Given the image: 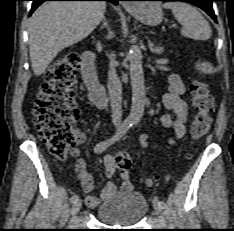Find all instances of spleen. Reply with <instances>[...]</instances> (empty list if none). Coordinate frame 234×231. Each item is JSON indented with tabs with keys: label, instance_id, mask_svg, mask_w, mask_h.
Instances as JSON below:
<instances>
[{
	"label": "spleen",
	"instance_id": "obj_1",
	"mask_svg": "<svg viewBox=\"0 0 234 231\" xmlns=\"http://www.w3.org/2000/svg\"><path fill=\"white\" fill-rule=\"evenodd\" d=\"M164 8L171 9L176 20L182 25L181 34L195 40H208L212 31L209 23L192 5L185 2H166Z\"/></svg>",
	"mask_w": 234,
	"mask_h": 231
}]
</instances>
